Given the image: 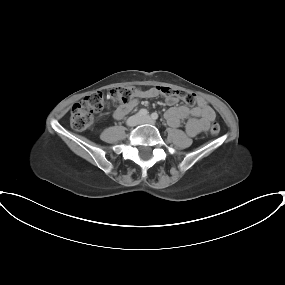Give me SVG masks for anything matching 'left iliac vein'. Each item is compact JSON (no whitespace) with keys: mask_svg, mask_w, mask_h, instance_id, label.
Wrapping results in <instances>:
<instances>
[{"mask_svg":"<svg viewBox=\"0 0 285 285\" xmlns=\"http://www.w3.org/2000/svg\"><path fill=\"white\" fill-rule=\"evenodd\" d=\"M140 124H154V120L150 116H145L140 119Z\"/></svg>","mask_w":285,"mask_h":285,"instance_id":"left-iliac-vein-1","label":"left iliac vein"}]
</instances>
